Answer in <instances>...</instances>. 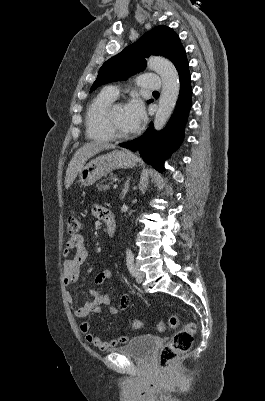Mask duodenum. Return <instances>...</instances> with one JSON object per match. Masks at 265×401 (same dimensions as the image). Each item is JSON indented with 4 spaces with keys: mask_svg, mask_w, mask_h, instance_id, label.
<instances>
[{
    "mask_svg": "<svg viewBox=\"0 0 265 401\" xmlns=\"http://www.w3.org/2000/svg\"><path fill=\"white\" fill-rule=\"evenodd\" d=\"M102 220L106 225V230L108 235L110 237H113L116 230V221L113 213L109 210H105Z\"/></svg>",
    "mask_w": 265,
    "mask_h": 401,
    "instance_id": "1",
    "label": "duodenum"
}]
</instances>
